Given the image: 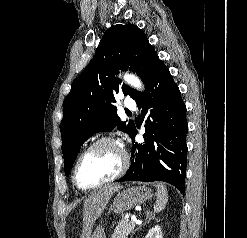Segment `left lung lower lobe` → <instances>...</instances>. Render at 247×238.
Returning a JSON list of instances; mask_svg holds the SVG:
<instances>
[{
  "label": "left lung lower lobe",
  "mask_w": 247,
  "mask_h": 238,
  "mask_svg": "<svg viewBox=\"0 0 247 238\" xmlns=\"http://www.w3.org/2000/svg\"><path fill=\"white\" fill-rule=\"evenodd\" d=\"M136 103L143 115L149 113L145 121V143L133 144L131 166L119 182L164 181L184 191L188 151L186 106L162 61ZM136 134L135 127L130 136L133 142Z\"/></svg>",
  "instance_id": "obj_1"
}]
</instances>
